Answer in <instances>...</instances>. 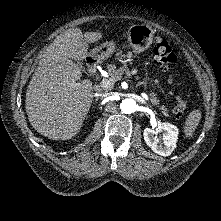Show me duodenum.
I'll list each match as a JSON object with an SVG mask.
<instances>
[{"label": "duodenum", "instance_id": "duodenum-1", "mask_svg": "<svg viewBox=\"0 0 221 221\" xmlns=\"http://www.w3.org/2000/svg\"><path fill=\"white\" fill-rule=\"evenodd\" d=\"M97 60L94 57H88L86 60L87 71L90 75H93L96 70Z\"/></svg>", "mask_w": 221, "mask_h": 221}]
</instances>
